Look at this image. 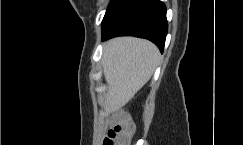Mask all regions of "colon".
Instances as JSON below:
<instances>
[{
    "instance_id": "1",
    "label": "colon",
    "mask_w": 243,
    "mask_h": 145,
    "mask_svg": "<svg viewBox=\"0 0 243 145\" xmlns=\"http://www.w3.org/2000/svg\"><path fill=\"white\" fill-rule=\"evenodd\" d=\"M135 132V125L124 112H118L114 118V126L109 130L103 145H128Z\"/></svg>"
}]
</instances>
